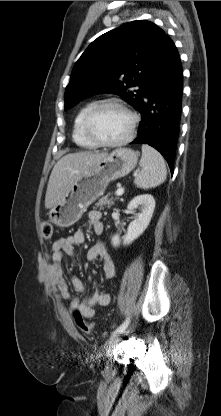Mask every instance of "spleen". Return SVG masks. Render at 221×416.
<instances>
[{"label":"spleen","mask_w":221,"mask_h":416,"mask_svg":"<svg viewBox=\"0 0 221 416\" xmlns=\"http://www.w3.org/2000/svg\"><path fill=\"white\" fill-rule=\"evenodd\" d=\"M140 166L142 170L134 179L138 188H153L166 180L167 170L163 156L147 144L142 145Z\"/></svg>","instance_id":"1"}]
</instances>
